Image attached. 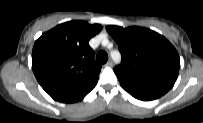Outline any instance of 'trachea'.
<instances>
[{
    "mask_svg": "<svg viewBox=\"0 0 203 123\" xmlns=\"http://www.w3.org/2000/svg\"><path fill=\"white\" fill-rule=\"evenodd\" d=\"M96 60L99 62V63H106L107 60H108V55L105 51H100L97 53V56H96Z\"/></svg>",
    "mask_w": 203,
    "mask_h": 123,
    "instance_id": "trachea-1",
    "label": "trachea"
}]
</instances>
